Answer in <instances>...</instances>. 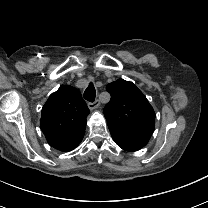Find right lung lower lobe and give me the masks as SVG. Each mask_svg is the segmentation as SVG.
I'll return each instance as SVG.
<instances>
[{
    "label": "right lung lower lobe",
    "instance_id": "98d812e1",
    "mask_svg": "<svg viewBox=\"0 0 208 208\" xmlns=\"http://www.w3.org/2000/svg\"><path fill=\"white\" fill-rule=\"evenodd\" d=\"M83 136H84V133L75 137L74 139H72L70 141L58 144V145L54 146V148L58 149L60 151H64V152L71 151L79 145V143L83 139Z\"/></svg>",
    "mask_w": 208,
    "mask_h": 208
}]
</instances>
